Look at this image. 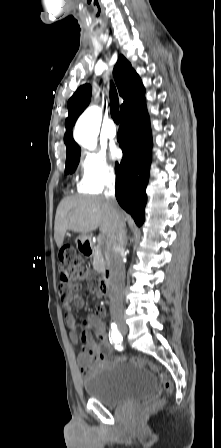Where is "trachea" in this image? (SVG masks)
I'll return each mask as SVG.
<instances>
[{"mask_svg": "<svg viewBox=\"0 0 221 448\" xmlns=\"http://www.w3.org/2000/svg\"><path fill=\"white\" fill-rule=\"evenodd\" d=\"M110 113L116 124L119 123V99L113 83L110 87Z\"/></svg>", "mask_w": 221, "mask_h": 448, "instance_id": "1", "label": "trachea"}]
</instances>
